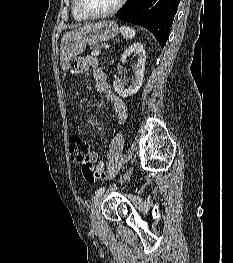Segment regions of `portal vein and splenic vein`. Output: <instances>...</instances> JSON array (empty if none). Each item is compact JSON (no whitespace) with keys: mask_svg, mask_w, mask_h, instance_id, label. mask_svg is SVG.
Returning <instances> with one entry per match:
<instances>
[{"mask_svg":"<svg viewBox=\"0 0 233 263\" xmlns=\"http://www.w3.org/2000/svg\"><path fill=\"white\" fill-rule=\"evenodd\" d=\"M91 54H92L93 56H98V55L100 54V52H99V51H93Z\"/></svg>","mask_w":233,"mask_h":263,"instance_id":"18ae733b","label":"portal vein and splenic vein"}]
</instances>
